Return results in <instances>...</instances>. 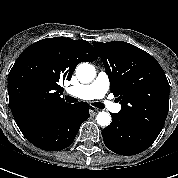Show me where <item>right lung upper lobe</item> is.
I'll use <instances>...</instances> for the list:
<instances>
[{"mask_svg": "<svg viewBox=\"0 0 178 178\" xmlns=\"http://www.w3.org/2000/svg\"><path fill=\"white\" fill-rule=\"evenodd\" d=\"M97 58L93 46L82 40L55 37L28 46L8 76L9 103L17 125L67 106L60 97V83L71 79L79 63Z\"/></svg>", "mask_w": 178, "mask_h": 178, "instance_id": "right-lung-upper-lobe-1", "label": "right lung upper lobe"}]
</instances>
